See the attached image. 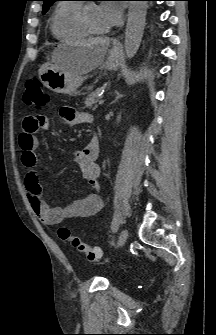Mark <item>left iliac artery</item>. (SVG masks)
I'll return each mask as SVG.
<instances>
[{
    "instance_id": "44dca946",
    "label": "left iliac artery",
    "mask_w": 216,
    "mask_h": 335,
    "mask_svg": "<svg viewBox=\"0 0 216 335\" xmlns=\"http://www.w3.org/2000/svg\"><path fill=\"white\" fill-rule=\"evenodd\" d=\"M112 232L116 233L119 229V224L118 223H113L111 226Z\"/></svg>"
}]
</instances>
